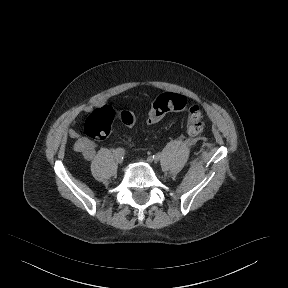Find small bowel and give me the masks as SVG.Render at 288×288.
Instances as JSON below:
<instances>
[{"mask_svg": "<svg viewBox=\"0 0 288 288\" xmlns=\"http://www.w3.org/2000/svg\"><path fill=\"white\" fill-rule=\"evenodd\" d=\"M77 152H82L85 159L91 160L95 155V148L91 142H88L84 151H77Z\"/></svg>", "mask_w": 288, "mask_h": 288, "instance_id": "1", "label": "small bowel"}]
</instances>
